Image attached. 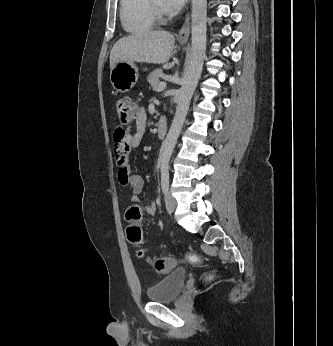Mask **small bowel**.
I'll return each mask as SVG.
<instances>
[{"mask_svg":"<svg viewBox=\"0 0 333 346\" xmlns=\"http://www.w3.org/2000/svg\"><path fill=\"white\" fill-rule=\"evenodd\" d=\"M147 116L143 107L139 108L138 116L135 119L134 133L131 132L132 126L126 128L117 127L113 131L114 147L116 151V163L118 165V180L121 185L127 188L131 193V201L133 204L140 202V195L143 191V179L132 173L131 165L128 161V153L131 149L139 147L142 137L146 131ZM149 215H155L157 205L150 203L145 207Z\"/></svg>","mask_w":333,"mask_h":346,"instance_id":"obj_1","label":"small bowel"}]
</instances>
